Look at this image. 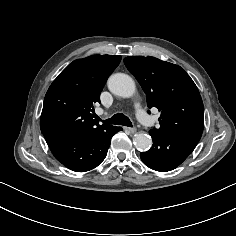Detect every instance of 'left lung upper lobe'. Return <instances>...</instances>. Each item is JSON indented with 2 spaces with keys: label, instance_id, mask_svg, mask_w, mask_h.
Masks as SVG:
<instances>
[{
  "label": "left lung upper lobe",
  "instance_id": "left-lung-upper-lobe-1",
  "mask_svg": "<svg viewBox=\"0 0 236 236\" xmlns=\"http://www.w3.org/2000/svg\"><path fill=\"white\" fill-rule=\"evenodd\" d=\"M124 63L143 88L148 107L161 111L160 128L151 130L203 132V102L198 88L183 68L143 56H128Z\"/></svg>",
  "mask_w": 236,
  "mask_h": 236
}]
</instances>
